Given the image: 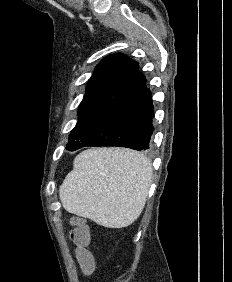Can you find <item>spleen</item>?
<instances>
[{
  "instance_id": "3e777b00",
  "label": "spleen",
  "mask_w": 232,
  "mask_h": 282,
  "mask_svg": "<svg viewBox=\"0 0 232 282\" xmlns=\"http://www.w3.org/2000/svg\"><path fill=\"white\" fill-rule=\"evenodd\" d=\"M151 176V163L141 153L88 149L76 156L59 196L69 213L109 228L127 227L145 206Z\"/></svg>"
}]
</instances>
